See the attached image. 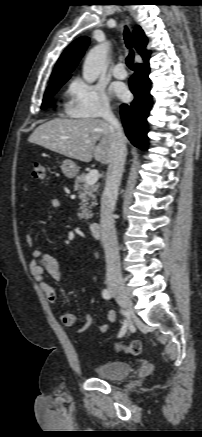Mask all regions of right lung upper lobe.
Here are the masks:
<instances>
[{
    "instance_id": "cb5924a9",
    "label": "right lung upper lobe",
    "mask_w": 202,
    "mask_h": 437,
    "mask_svg": "<svg viewBox=\"0 0 202 437\" xmlns=\"http://www.w3.org/2000/svg\"><path fill=\"white\" fill-rule=\"evenodd\" d=\"M132 35L134 38L135 49L141 55L143 60L148 59L150 56V51L146 50L147 38L143 30L139 26H136L135 30L132 32ZM88 44L89 38L83 36L73 41L65 49L51 75L50 85L57 81L70 78V73L80 61Z\"/></svg>"
}]
</instances>
